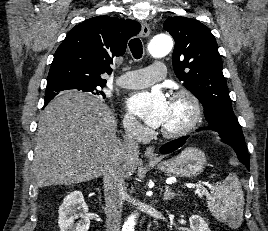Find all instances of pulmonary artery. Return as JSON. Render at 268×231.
<instances>
[{"instance_id":"pulmonary-artery-1","label":"pulmonary artery","mask_w":268,"mask_h":231,"mask_svg":"<svg viewBox=\"0 0 268 231\" xmlns=\"http://www.w3.org/2000/svg\"><path fill=\"white\" fill-rule=\"evenodd\" d=\"M165 72V64L160 62L151 63L141 69L129 71L124 78L118 80V84L127 89L150 86L163 78Z\"/></svg>"}]
</instances>
